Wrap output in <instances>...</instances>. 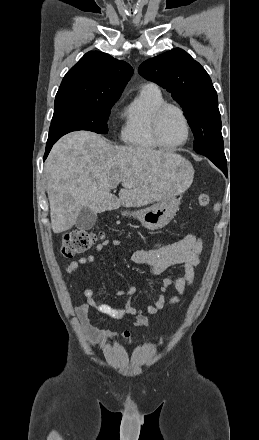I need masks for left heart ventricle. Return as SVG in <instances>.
Segmentation results:
<instances>
[{
	"instance_id": "b2bd125f",
	"label": "left heart ventricle",
	"mask_w": 259,
	"mask_h": 440,
	"mask_svg": "<svg viewBox=\"0 0 259 440\" xmlns=\"http://www.w3.org/2000/svg\"><path fill=\"white\" fill-rule=\"evenodd\" d=\"M162 140L168 145H174L184 140L186 128L179 113L169 109L163 116L160 125Z\"/></svg>"
}]
</instances>
